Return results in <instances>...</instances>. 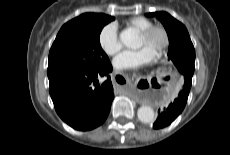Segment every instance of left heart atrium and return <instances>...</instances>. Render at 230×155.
<instances>
[{
	"mask_svg": "<svg viewBox=\"0 0 230 155\" xmlns=\"http://www.w3.org/2000/svg\"><path fill=\"white\" fill-rule=\"evenodd\" d=\"M154 57L152 50L143 46L138 50H127L120 53L113 60V65L118 70L136 69L149 64Z\"/></svg>",
	"mask_w": 230,
	"mask_h": 155,
	"instance_id": "left-heart-atrium-1",
	"label": "left heart atrium"
}]
</instances>
